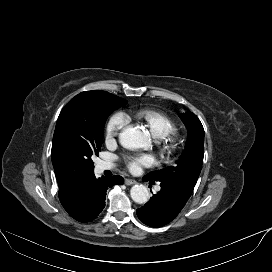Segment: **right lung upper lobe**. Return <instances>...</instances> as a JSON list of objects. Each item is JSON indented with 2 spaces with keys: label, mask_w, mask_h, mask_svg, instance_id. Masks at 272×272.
Returning <instances> with one entry per match:
<instances>
[{
  "label": "right lung upper lobe",
  "mask_w": 272,
  "mask_h": 272,
  "mask_svg": "<svg viewBox=\"0 0 272 272\" xmlns=\"http://www.w3.org/2000/svg\"><path fill=\"white\" fill-rule=\"evenodd\" d=\"M51 158L59 185V199L67 210L75 204L94 171L84 174L76 173L70 162L56 150L53 144Z\"/></svg>",
  "instance_id": "right-lung-upper-lobe-1"
}]
</instances>
